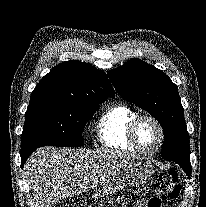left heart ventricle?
Segmentation results:
<instances>
[{"label":"left heart ventricle","mask_w":206,"mask_h":207,"mask_svg":"<svg viewBox=\"0 0 206 207\" xmlns=\"http://www.w3.org/2000/svg\"><path fill=\"white\" fill-rule=\"evenodd\" d=\"M137 139L142 148L154 149L160 140L157 126L149 120H143L137 128Z\"/></svg>","instance_id":"obj_1"}]
</instances>
